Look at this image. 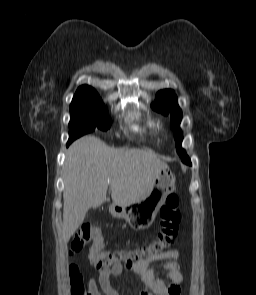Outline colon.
Here are the masks:
<instances>
[{
	"label": "colon",
	"instance_id": "5ec220e1",
	"mask_svg": "<svg viewBox=\"0 0 256 295\" xmlns=\"http://www.w3.org/2000/svg\"><path fill=\"white\" fill-rule=\"evenodd\" d=\"M180 220L179 198L171 194L159 211V232L151 242L128 253L105 251L101 230L84 223L70 242L69 255L88 248L89 261L97 269L110 268L116 264L130 266L134 261L155 258L170 251L177 237ZM69 282L71 295H92L75 264L69 267Z\"/></svg>",
	"mask_w": 256,
	"mask_h": 295
}]
</instances>
